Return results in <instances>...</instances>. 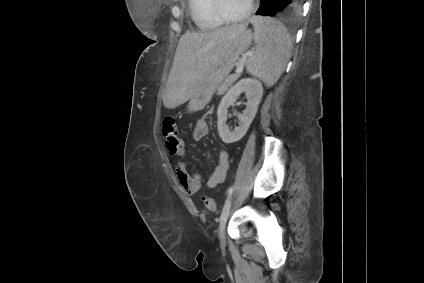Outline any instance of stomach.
I'll use <instances>...</instances> for the list:
<instances>
[{"mask_svg": "<svg viewBox=\"0 0 424 283\" xmlns=\"http://www.w3.org/2000/svg\"><path fill=\"white\" fill-rule=\"evenodd\" d=\"M252 39V31L246 29L232 41L224 55L201 84L199 90L189 99V111L202 110L210 102L218 86L236 65L240 55L248 50Z\"/></svg>", "mask_w": 424, "mask_h": 283, "instance_id": "obj_1", "label": "stomach"}]
</instances>
